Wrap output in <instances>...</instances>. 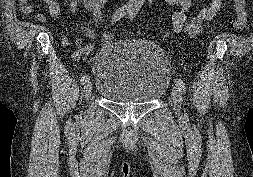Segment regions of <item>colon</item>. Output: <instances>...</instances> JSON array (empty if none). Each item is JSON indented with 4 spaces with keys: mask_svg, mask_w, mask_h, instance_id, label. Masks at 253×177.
I'll return each instance as SVG.
<instances>
[{
    "mask_svg": "<svg viewBox=\"0 0 253 177\" xmlns=\"http://www.w3.org/2000/svg\"><path fill=\"white\" fill-rule=\"evenodd\" d=\"M234 6L233 18L231 21L232 28L236 31H241L244 29L247 23V4L246 0H232ZM107 19V18H106ZM114 30L109 26H105V29L101 36V41L103 44H109L113 42Z\"/></svg>",
    "mask_w": 253,
    "mask_h": 177,
    "instance_id": "5ec220e1",
    "label": "colon"
}]
</instances>
